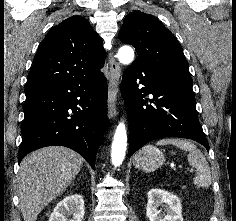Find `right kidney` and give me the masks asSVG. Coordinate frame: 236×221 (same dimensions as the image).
<instances>
[{
	"label": "right kidney",
	"instance_id": "right-kidney-1",
	"mask_svg": "<svg viewBox=\"0 0 236 221\" xmlns=\"http://www.w3.org/2000/svg\"><path fill=\"white\" fill-rule=\"evenodd\" d=\"M84 200L79 194H71L61 200L50 215L49 221H82ZM71 217L70 219H68Z\"/></svg>",
	"mask_w": 236,
	"mask_h": 221
}]
</instances>
